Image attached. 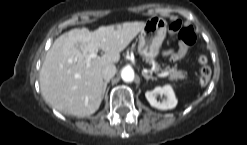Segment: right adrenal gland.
<instances>
[{"mask_svg":"<svg viewBox=\"0 0 247 145\" xmlns=\"http://www.w3.org/2000/svg\"><path fill=\"white\" fill-rule=\"evenodd\" d=\"M110 82V80H107V81H104V83H103V96H104V94H105V92H106V88H107V84Z\"/></svg>","mask_w":247,"mask_h":145,"instance_id":"right-adrenal-gland-1","label":"right adrenal gland"}]
</instances>
